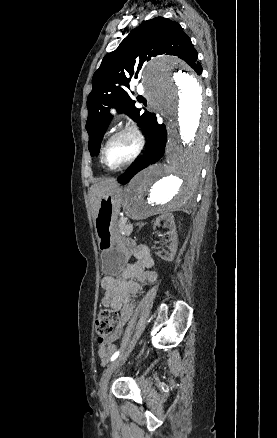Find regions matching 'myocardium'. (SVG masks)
Here are the masks:
<instances>
[{
    "instance_id": "1",
    "label": "myocardium",
    "mask_w": 277,
    "mask_h": 438,
    "mask_svg": "<svg viewBox=\"0 0 277 438\" xmlns=\"http://www.w3.org/2000/svg\"><path fill=\"white\" fill-rule=\"evenodd\" d=\"M124 135L131 136L134 139V141H135L134 152L132 153L130 158L128 160H126L124 163H122L121 165L116 166V167H111L106 161L107 148L109 147V145L111 144L112 141H114L115 139H117L121 136H124ZM143 146H144L143 136L136 127H134V126L123 127L121 129H119L118 131H116L115 133H113L107 139L105 144L103 145L102 150H101V162L105 166V168H107L110 171H117V170L124 169V168L130 166L140 156L142 149H143Z\"/></svg>"
}]
</instances>
